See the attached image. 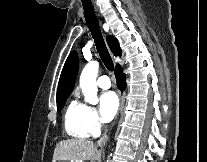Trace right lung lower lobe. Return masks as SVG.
Here are the masks:
<instances>
[{
    "mask_svg": "<svg viewBox=\"0 0 207 162\" xmlns=\"http://www.w3.org/2000/svg\"><path fill=\"white\" fill-rule=\"evenodd\" d=\"M115 76H116L117 85H118L119 89L121 91H123V89L125 88V77H124V74H123L120 66L116 67Z\"/></svg>",
    "mask_w": 207,
    "mask_h": 162,
    "instance_id": "right-lung-lower-lobe-1",
    "label": "right lung lower lobe"
}]
</instances>
